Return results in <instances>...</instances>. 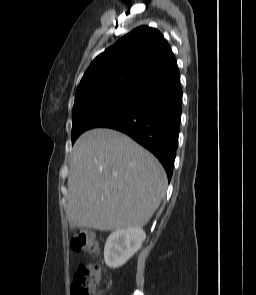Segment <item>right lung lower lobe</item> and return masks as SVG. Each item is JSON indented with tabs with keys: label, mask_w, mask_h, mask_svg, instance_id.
I'll return each instance as SVG.
<instances>
[{
	"label": "right lung lower lobe",
	"mask_w": 256,
	"mask_h": 295,
	"mask_svg": "<svg viewBox=\"0 0 256 295\" xmlns=\"http://www.w3.org/2000/svg\"><path fill=\"white\" fill-rule=\"evenodd\" d=\"M182 109L179 69L174 60L138 91L133 103L99 127L119 130L150 150L168 180L173 173Z\"/></svg>",
	"instance_id": "right-lung-lower-lobe-1"
}]
</instances>
